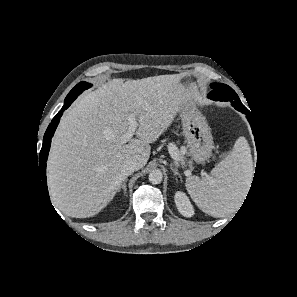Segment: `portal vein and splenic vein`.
I'll return each mask as SVG.
<instances>
[{
    "mask_svg": "<svg viewBox=\"0 0 297 297\" xmlns=\"http://www.w3.org/2000/svg\"><path fill=\"white\" fill-rule=\"evenodd\" d=\"M128 121H129L128 130L121 138L123 143H127L133 137V135L135 134V131L138 127V123L133 115L129 116ZM169 153L172 155L175 162H178V158L175 157L174 153L172 152V147L169 148Z\"/></svg>",
    "mask_w": 297,
    "mask_h": 297,
    "instance_id": "portal-vein-and-splenic-vein-1",
    "label": "portal vein and splenic vein"
}]
</instances>
